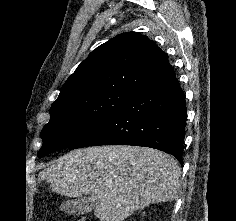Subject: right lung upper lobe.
Returning <instances> with one entry per match:
<instances>
[{"label": "right lung upper lobe", "instance_id": "cb5924a9", "mask_svg": "<svg viewBox=\"0 0 236 221\" xmlns=\"http://www.w3.org/2000/svg\"><path fill=\"white\" fill-rule=\"evenodd\" d=\"M165 53L140 33L126 32L100 45L77 67L52 106L92 92L138 91L171 70Z\"/></svg>", "mask_w": 236, "mask_h": 221}]
</instances>
